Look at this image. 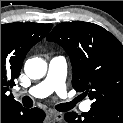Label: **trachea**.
<instances>
[{
	"label": "trachea",
	"mask_w": 123,
	"mask_h": 123,
	"mask_svg": "<svg viewBox=\"0 0 123 123\" xmlns=\"http://www.w3.org/2000/svg\"><path fill=\"white\" fill-rule=\"evenodd\" d=\"M76 102L77 101H72V102H68V103L59 104L56 106V109L60 112L69 111L75 106ZM22 103L25 107H28V108L33 106V100L28 96H24L22 98Z\"/></svg>",
	"instance_id": "1"
}]
</instances>
